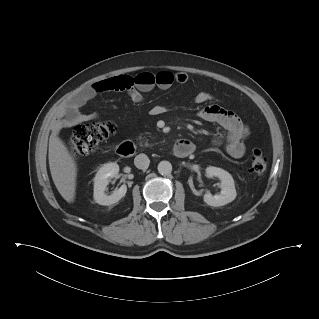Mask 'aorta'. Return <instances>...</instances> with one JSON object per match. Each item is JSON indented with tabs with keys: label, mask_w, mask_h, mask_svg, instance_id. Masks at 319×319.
Returning <instances> with one entry per match:
<instances>
[{
	"label": "aorta",
	"mask_w": 319,
	"mask_h": 319,
	"mask_svg": "<svg viewBox=\"0 0 319 319\" xmlns=\"http://www.w3.org/2000/svg\"><path fill=\"white\" fill-rule=\"evenodd\" d=\"M158 172L161 175H169L172 172V165L169 161H161L158 164Z\"/></svg>",
	"instance_id": "762f6f07"
}]
</instances>
